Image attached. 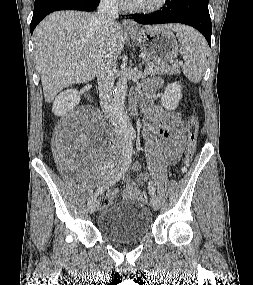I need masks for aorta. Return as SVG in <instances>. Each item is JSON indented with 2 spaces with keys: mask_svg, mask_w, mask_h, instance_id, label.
I'll return each mask as SVG.
<instances>
[{
  "mask_svg": "<svg viewBox=\"0 0 253 285\" xmlns=\"http://www.w3.org/2000/svg\"><path fill=\"white\" fill-rule=\"evenodd\" d=\"M127 77L122 76L114 89L113 98H114V109H115V118L118 124V127L123 134H133L134 129L132 124L125 112V98L127 94Z\"/></svg>",
  "mask_w": 253,
  "mask_h": 285,
  "instance_id": "1",
  "label": "aorta"
}]
</instances>
